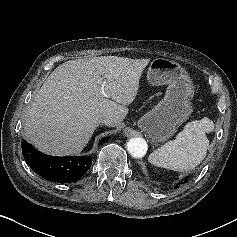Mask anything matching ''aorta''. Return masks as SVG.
Wrapping results in <instances>:
<instances>
[{
    "label": "aorta",
    "mask_w": 237,
    "mask_h": 237,
    "mask_svg": "<svg viewBox=\"0 0 237 237\" xmlns=\"http://www.w3.org/2000/svg\"><path fill=\"white\" fill-rule=\"evenodd\" d=\"M147 143L143 138H132L127 143L128 152L136 158L143 157L147 152Z\"/></svg>",
    "instance_id": "obj_1"
}]
</instances>
